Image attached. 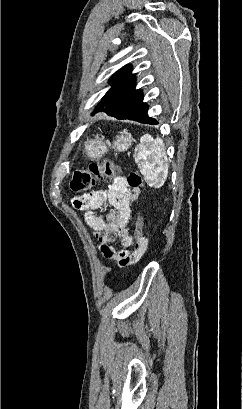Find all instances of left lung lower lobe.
<instances>
[{
  "label": "left lung lower lobe",
  "mask_w": 243,
  "mask_h": 409,
  "mask_svg": "<svg viewBox=\"0 0 243 409\" xmlns=\"http://www.w3.org/2000/svg\"><path fill=\"white\" fill-rule=\"evenodd\" d=\"M147 110H148L147 104L141 102L139 105L128 108L122 114H113L109 112H106V113L107 115L115 117L117 119H128V120H133V121H137L140 123L151 124V125L158 124L156 120L148 116Z\"/></svg>",
  "instance_id": "obj_1"
}]
</instances>
